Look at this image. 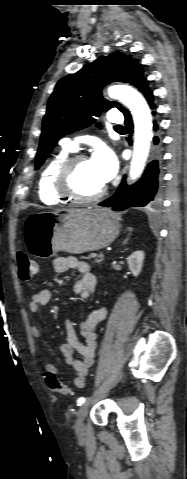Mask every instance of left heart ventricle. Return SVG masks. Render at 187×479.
<instances>
[{
    "mask_svg": "<svg viewBox=\"0 0 187 479\" xmlns=\"http://www.w3.org/2000/svg\"><path fill=\"white\" fill-rule=\"evenodd\" d=\"M72 186L82 196H91L104 186L90 159L78 163L73 174Z\"/></svg>",
    "mask_w": 187,
    "mask_h": 479,
    "instance_id": "left-heart-ventricle-1",
    "label": "left heart ventricle"
}]
</instances>
